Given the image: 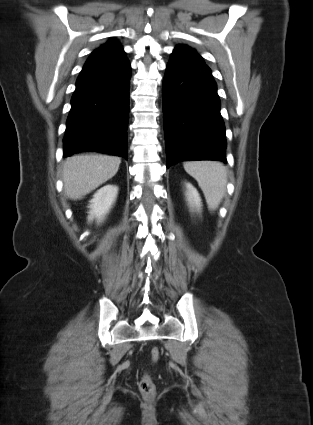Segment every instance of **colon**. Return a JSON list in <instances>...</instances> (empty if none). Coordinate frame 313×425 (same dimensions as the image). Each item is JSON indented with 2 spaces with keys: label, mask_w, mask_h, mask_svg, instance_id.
<instances>
[{
  "label": "colon",
  "mask_w": 313,
  "mask_h": 425,
  "mask_svg": "<svg viewBox=\"0 0 313 425\" xmlns=\"http://www.w3.org/2000/svg\"><path fill=\"white\" fill-rule=\"evenodd\" d=\"M160 355H161V352H160V349L158 347H154V348L151 349L150 359L153 363H155L159 360ZM139 389H140L142 396L145 399L150 400V399L154 398V396L156 394V386H155L153 379L151 378V376L149 374H144L142 376L140 383H139Z\"/></svg>",
  "instance_id": "colon-1"
}]
</instances>
